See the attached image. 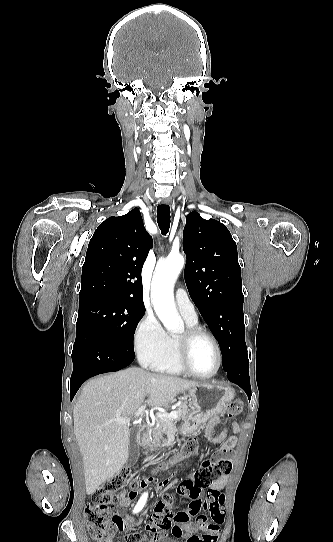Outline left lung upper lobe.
<instances>
[{
	"label": "left lung upper lobe",
	"instance_id": "left-lung-upper-lobe-1",
	"mask_svg": "<svg viewBox=\"0 0 333 542\" xmlns=\"http://www.w3.org/2000/svg\"><path fill=\"white\" fill-rule=\"evenodd\" d=\"M183 250L189 294L218 340L227 371L247 354L236 243L224 224L193 211L186 217Z\"/></svg>",
	"mask_w": 333,
	"mask_h": 542
}]
</instances>
